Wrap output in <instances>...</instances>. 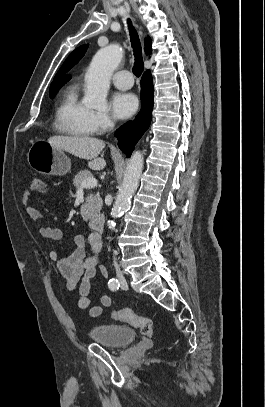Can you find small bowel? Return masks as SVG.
<instances>
[{"label":"small bowel","instance_id":"1","mask_svg":"<svg viewBox=\"0 0 265 407\" xmlns=\"http://www.w3.org/2000/svg\"><path fill=\"white\" fill-rule=\"evenodd\" d=\"M30 191L26 190L22 196V204L30 218L41 222L42 214L33 206L29 205ZM39 232L42 237L58 241L62 238V231L57 227L41 226ZM90 256H86V238L83 235H76L71 241L70 251L66 255H60L57 251H51L49 256L56 262L57 268L65 278L66 289L69 292H78L77 307L81 310L90 306L89 292L92 279L101 275L108 277V271L98 265V253L100 251L99 237L90 236L88 239ZM100 304L89 308V315L92 318L99 317L105 309L111 306V298L103 293L100 296Z\"/></svg>","mask_w":265,"mask_h":407}]
</instances>
